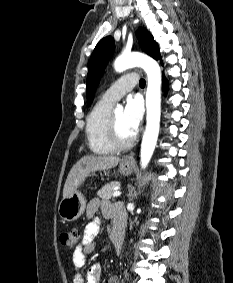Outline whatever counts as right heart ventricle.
<instances>
[{"instance_id": "1", "label": "right heart ventricle", "mask_w": 233, "mask_h": 283, "mask_svg": "<svg viewBox=\"0 0 233 283\" xmlns=\"http://www.w3.org/2000/svg\"><path fill=\"white\" fill-rule=\"evenodd\" d=\"M112 105L113 103L100 99L88 114L86 122L87 145L94 154L108 155L114 151L107 138Z\"/></svg>"}]
</instances>
